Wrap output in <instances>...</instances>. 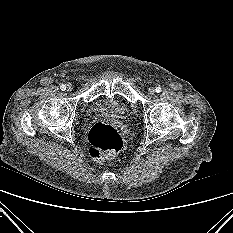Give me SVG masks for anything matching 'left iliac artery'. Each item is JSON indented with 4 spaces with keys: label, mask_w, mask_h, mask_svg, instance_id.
<instances>
[{
    "label": "left iliac artery",
    "mask_w": 233,
    "mask_h": 233,
    "mask_svg": "<svg viewBox=\"0 0 233 233\" xmlns=\"http://www.w3.org/2000/svg\"><path fill=\"white\" fill-rule=\"evenodd\" d=\"M161 90H162V89H161V87H159V86H158V87H156V89H155V91H156L157 93H160V92H161Z\"/></svg>",
    "instance_id": "left-iliac-artery-1"
}]
</instances>
